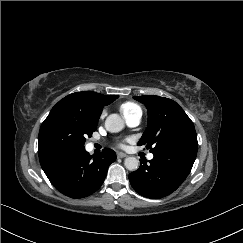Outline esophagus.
Listing matches in <instances>:
<instances>
[{
    "instance_id": "esophagus-1",
    "label": "esophagus",
    "mask_w": 243,
    "mask_h": 243,
    "mask_svg": "<svg viewBox=\"0 0 243 243\" xmlns=\"http://www.w3.org/2000/svg\"><path fill=\"white\" fill-rule=\"evenodd\" d=\"M117 157H118V158H125V157H127V155L124 154V153H122V152H118V153H117Z\"/></svg>"
}]
</instances>
